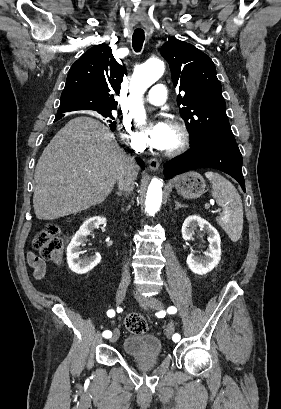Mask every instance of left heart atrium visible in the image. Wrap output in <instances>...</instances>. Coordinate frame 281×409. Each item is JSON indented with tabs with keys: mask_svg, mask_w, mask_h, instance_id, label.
I'll list each match as a JSON object with an SVG mask.
<instances>
[{
	"mask_svg": "<svg viewBox=\"0 0 281 409\" xmlns=\"http://www.w3.org/2000/svg\"><path fill=\"white\" fill-rule=\"evenodd\" d=\"M168 131L167 123L159 121L145 130L144 141L151 147L163 149L167 141Z\"/></svg>",
	"mask_w": 281,
	"mask_h": 409,
	"instance_id": "1",
	"label": "left heart atrium"
}]
</instances>
